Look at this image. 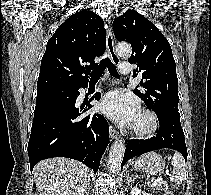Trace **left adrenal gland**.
<instances>
[{"label": "left adrenal gland", "instance_id": "1", "mask_svg": "<svg viewBox=\"0 0 211 195\" xmlns=\"http://www.w3.org/2000/svg\"><path fill=\"white\" fill-rule=\"evenodd\" d=\"M127 179H128V181H127L128 185H130V182L135 181V177L131 174L127 175Z\"/></svg>", "mask_w": 211, "mask_h": 195}]
</instances>
